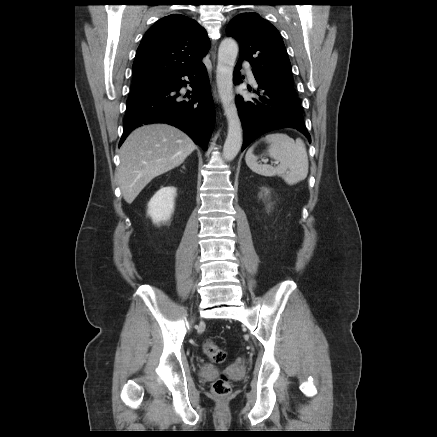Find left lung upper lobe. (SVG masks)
<instances>
[{
    "label": "left lung upper lobe",
    "instance_id": "obj_1",
    "mask_svg": "<svg viewBox=\"0 0 437 437\" xmlns=\"http://www.w3.org/2000/svg\"><path fill=\"white\" fill-rule=\"evenodd\" d=\"M240 45L238 61L247 60L262 82L295 95L291 64L278 30L257 13H242L226 28Z\"/></svg>",
    "mask_w": 437,
    "mask_h": 437
}]
</instances>
